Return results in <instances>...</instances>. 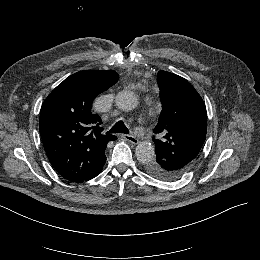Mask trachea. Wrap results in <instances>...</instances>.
<instances>
[{"instance_id":"1","label":"trachea","mask_w":260,"mask_h":260,"mask_svg":"<svg viewBox=\"0 0 260 260\" xmlns=\"http://www.w3.org/2000/svg\"><path fill=\"white\" fill-rule=\"evenodd\" d=\"M108 134H113V133H125L128 134L129 130L125 126L123 121H118L108 132Z\"/></svg>"}]
</instances>
